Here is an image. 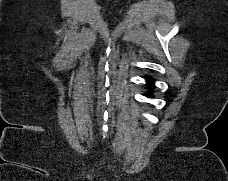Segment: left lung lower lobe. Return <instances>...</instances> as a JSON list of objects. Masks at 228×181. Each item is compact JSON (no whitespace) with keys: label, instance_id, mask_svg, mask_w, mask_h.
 Returning a JSON list of instances; mask_svg holds the SVG:
<instances>
[{"label":"left lung lower lobe","instance_id":"left-lung-lower-lobe-1","mask_svg":"<svg viewBox=\"0 0 228 181\" xmlns=\"http://www.w3.org/2000/svg\"><path fill=\"white\" fill-rule=\"evenodd\" d=\"M148 87H154L152 79L148 78Z\"/></svg>","mask_w":228,"mask_h":181}]
</instances>
